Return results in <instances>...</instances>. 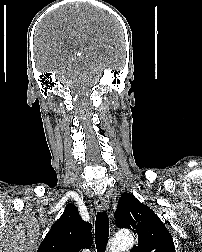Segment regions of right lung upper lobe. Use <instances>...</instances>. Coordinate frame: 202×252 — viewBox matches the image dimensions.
I'll use <instances>...</instances> for the list:
<instances>
[{"label":"right lung upper lobe","instance_id":"1","mask_svg":"<svg viewBox=\"0 0 202 252\" xmlns=\"http://www.w3.org/2000/svg\"><path fill=\"white\" fill-rule=\"evenodd\" d=\"M92 225L82 220L74 204H68L52 225L37 252H79L92 244Z\"/></svg>","mask_w":202,"mask_h":252}]
</instances>
